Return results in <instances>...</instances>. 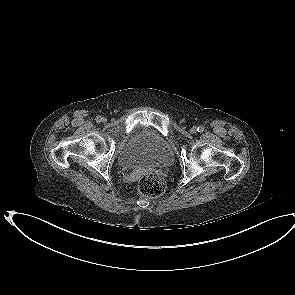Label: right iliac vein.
Masks as SVG:
<instances>
[{
    "mask_svg": "<svg viewBox=\"0 0 295 295\" xmlns=\"http://www.w3.org/2000/svg\"><path fill=\"white\" fill-rule=\"evenodd\" d=\"M102 121H103V122H105V121H106V119H105V118H103V119H102Z\"/></svg>",
    "mask_w": 295,
    "mask_h": 295,
    "instance_id": "right-iliac-vein-1",
    "label": "right iliac vein"
}]
</instances>
